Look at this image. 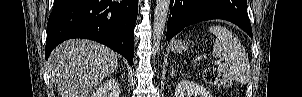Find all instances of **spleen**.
<instances>
[{
    "instance_id": "3e777b00",
    "label": "spleen",
    "mask_w": 302,
    "mask_h": 97,
    "mask_svg": "<svg viewBox=\"0 0 302 97\" xmlns=\"http://www.w3.org/2000/svg\"><path fill=\"white\" fill-rule=\"evenodd\" d=\"M209 32L216 36L212 55L224 61L218 71L240 83H248L250 64L248 55L238 38L226 27L210 26Z\"/></svg>"
}]
</instances>
